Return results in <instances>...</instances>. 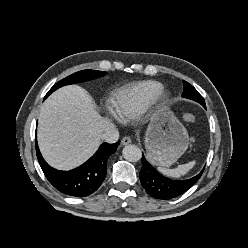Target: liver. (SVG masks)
Instances as JSON below:
<instances>
[{"label": "liver", "mask_w": 248, "mask_h": 248, "mask_svg": "<svg viewBox=\"0 0 248 248\" xmlns=\"http://www.w3.org/2000/svg\"><path fill=\"white\" fill-rule=\"evenodd\" d=\"M113 122L101 117L88 92L77 85L62 87L43 103L38 120V144L54 168L73 169L98 149Z\"/></svg>", "instance_id": "liver-1"}]
</instances>
